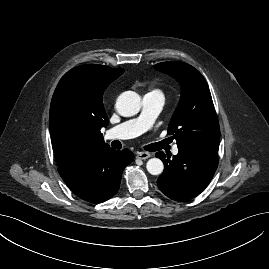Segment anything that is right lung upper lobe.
<instances>
[{
    "label": "right lung upper lobe",
    "instance_id": "right-lung-upper-lobe-1",
    "mask_svg": "<svg viewBox=\"0 0 269 269\" xmlns=\"http://www.w3.org/2000/svg\"><path fill=\"white\" fill-rule=\"evenodd\" d=\"M122 68L87 64L68 71L58 83L50 106L49 125L58 167L84 155L110 148L101 128L108 125L102 96L123 74Z\"/></svg>",
    "mask_w": 269,
    "mask_h": 269
}]
</instances>
